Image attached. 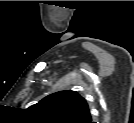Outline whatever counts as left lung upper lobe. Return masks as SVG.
<instances>
[{
    "instance_id": "5c2ea615",
    "label": "left lung upper lobe",
    "mask_w": 134,
    "mask_h": 123,
    "mask_svg": "<svg viewBox=\"0 0 134 123\" xmlns=\"http://www.w3.org/2000/svg\"><path fill=\"white\" fill-rule=\"evenodd\" d=\"M42 119L56 123H91L86 100L75 91H59L30 107Z\"/></svg>"
}]
</instances>
